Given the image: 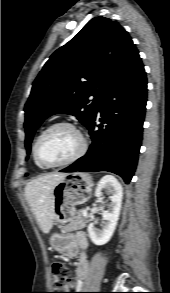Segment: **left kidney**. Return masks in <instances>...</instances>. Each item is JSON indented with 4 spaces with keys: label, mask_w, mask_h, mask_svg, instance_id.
<instances>
[{
    "label": "left kidney",
    "mask_w": 170,
    "mask_h": 293,
    "mask_svg": "<svg viewBox=\"0 0 170 293\" xmlns=\"http://www.w3.org/2000/svg\"><path fill=\"white\" fill-rule=\"evenodd\" d=\"M106 190L111 196V203L108 206V210L102 212V218L104 220L103 228L97 229L94 223H90L88 226V233L91 241L95 245H104L112 237L117 221L119 219L123 189L119 181L110 175L104 176L98 183L95 196L101 200L102 191Z\"/></svg>",
    "instance_id": "1"
}]
</instances>
